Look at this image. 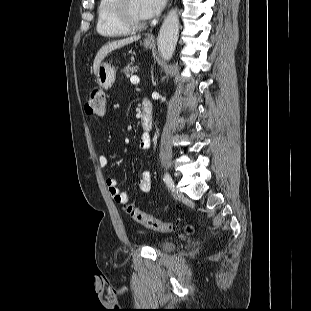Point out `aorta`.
I'll use <instances>...</instances> for the list:
<instances>
[{"label":"aorta","mask_w":311,"mask_h":311,"mask_svg":"<svg viewBox=\"0 0 311 311\" xmlns=\"http://www.w3.org/2000/svg\"><path fill=\"white\" fill-rule=\"evenodd\" d=\"M178 33V10L172 9L164 19L157 39L158 51L164 60L171 59L177 44Z\"/></svg>","instance_id":"762f6f07"}]
</instances>
